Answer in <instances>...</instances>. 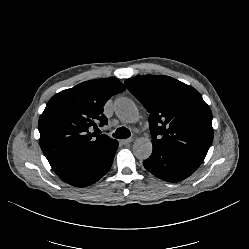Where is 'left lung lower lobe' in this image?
<instances>
[{
  "label": "left lung lower lobe",
  "instance_id": "left-lung-lower-lobe-1",
  "mask_svg": "<svg viewBox=\"0 0 249 249\" xmlns=\"http://www.w3.org/2000/svg\"><path fill=\"white\" fill-rule=\"evenodd\" d=\"M151 156L143 161L144 167L156 177L179 182L189 177L203 162L204 158L189 155L154 144Z\"/></svg>",
  "mask_w": 249,
  "mask_h": 249
}]
</instances>
